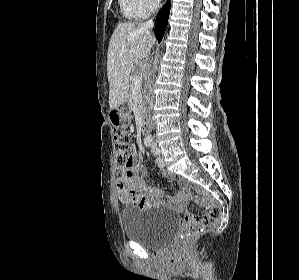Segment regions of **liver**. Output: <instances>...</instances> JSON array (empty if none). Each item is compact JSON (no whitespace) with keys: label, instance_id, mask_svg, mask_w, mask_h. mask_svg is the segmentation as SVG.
I'll return each mask as SVG.
<instances>
[{"label":"liver","instance_id":"6515ba94","mask_svg":"<svg viewBox=\"0 0 299 280\" xmlns=\"http://www.w3.org/2000/svg\"><path fill=\"white\" fill-rule=\"evenodd\" d=\"M154 43L152 33L141 24L123 22L117 25L107 54L110 109H115L126 101L133 65L148 57Z\"/></svg>","mask_w":299,"mask_h":280}]
</instances>
